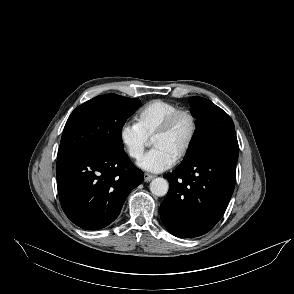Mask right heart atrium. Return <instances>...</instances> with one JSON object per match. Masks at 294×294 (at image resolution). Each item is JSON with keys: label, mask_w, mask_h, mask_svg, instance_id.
<instances>
[{"label": "right heart atrium", "mask_w": 294, "mask_h": 294, "mask_svg": "<svg viewBox=\"0 0 294 294\" xmlns=\"http://www.w3.org/2000/svg\"><path fill=\"white\" fill-rule=\"evenodd\" d=\"M119 140L126 154L133 160L142 158L148 144V138L133 122H125L121 126Z\"/></svg>", "instance_id": "obj_1"}]
</instances>
